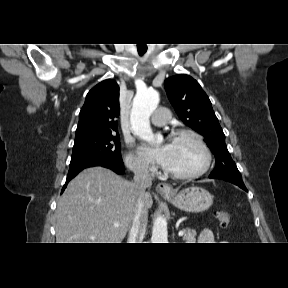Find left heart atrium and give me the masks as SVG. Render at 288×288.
<instances>
[{
    "label": "left heart atrium",
    "mask_w": 288,
    "mask_h": 288,
    "mask_svg": "<svg viewBox=\"0 0 288 288\" xmlns=\"http://www.w3.org/2000/svg\"><path fill=\"white\" fill-rule=\"evenodd\" d=\"M142 152L156 161L159 165L165 166L169 158L170 145L165 144L158 148L152 147L150 145H143Z\"/></svg>",
    "instance_id": "1"
}]
</instances>
